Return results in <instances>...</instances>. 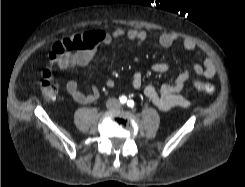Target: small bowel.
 Listing matches in <instances>:
<instances>
[{"instance_id": "obj_1", "label": "small bowel", "mask_w": 245, "mask_h": 187, "mask_svg": "<svg viewBox=\"0 0 245 187\" xmlns=\"http://www.w3.org/2000/svg\"><path fill=\"white\" fill-rule=\"evenodd\" d=\"M87 43L89 48L83 51H77L56 60V64L60 69H67L72 66H85L89 64L95 54V47L100 45L104 48L111 45L114 40L127 38L137 45L143 44L148 39V34L140 29H122L116 28L111 32L94 29L87 34ZM159 44L168 48L177 41H182L186 50L197 52L196 43L190 38H181L177 34L162 33L159 36ZM50 60L51 52L49 54ZM170 66L167 63H156L152 66V71L156 74H164L168 72ZM216 74V66L210 57H206L202 63L194 64L190 69L181 72L168 85H163L159 89L152 84L144 85L143 77L140 73H134L131 76L130 83L135 89H143V93L158 109L169 111L175 107H188L191 102L189 99L181 95V91L186 87L188 81L195 75H202L206 78H212ZM112 81H108L107 86L111 87ZM66 92L80 104H89L98 99L100 92L97 88H92L89 93H85L79 89L76 80H70L66 84Z\"/></svg>"}]
</instances>
